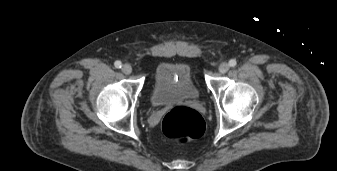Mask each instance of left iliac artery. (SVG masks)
Returning a JSON list of instances; mask_svg holds the SVG:
<instances>
[{"label": "left iliac artery", "mask_w": 337, "mask_h": 171, "mask_svg": "<svg viewBox=\"0 0 337 171\" xmlns=\"http://www.w3.org/2000/svg\"><path fill=\"white\" fill-rule=\"evenodd\" d=\"M229 65H230V67H235L237 65V61L235 59H231L229 61Z\"/></svg>", "instance_id": "obj_1"}]
</instances>
